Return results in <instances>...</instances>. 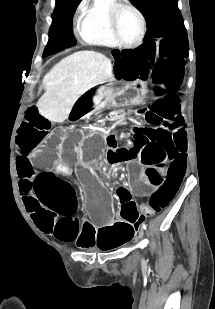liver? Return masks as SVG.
Segmentation results:
<instances>
[{
    "label": "liver",
    "instance_id": "liver-1",
    "mask_svg": "<svg viewBox=\"0 0 215 309\" xmlns=\"http://www.w3.org/2000/svg\"><path fill=\"white\" fill-rule=\"evenodd\" d=\"M111 66L110 58L95 50L65 56L43 78L46 92L37 102L40 112L51 122H63L81 94L109 80Z\"/></svg>",
    "mask_w": 215,
    "mask_h": 309
}]
</instances>
